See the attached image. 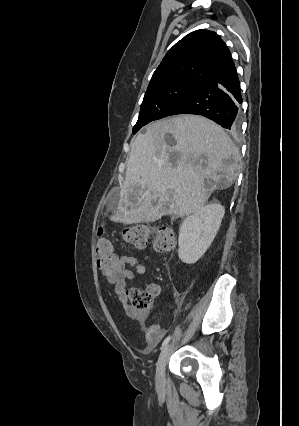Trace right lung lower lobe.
<instances>
[{
  "mask_svg": "<svg viewBox=\"0 0 299 426\" xmlns=\"http://www.w3.org/2000/svg\"><path fill=\"white\" fill-rule=\"evenodd\" d=\"M240 103H242L240 82L235 66H232L217 78L202 84L171 105L159 119L177 114H196L236 131Z\"/></svg>",
  "mask_w": 299,
  "mask_h": 426,
  "instance_id": "1",
  "label": "right lung lower lobe"
}]
</instances>
